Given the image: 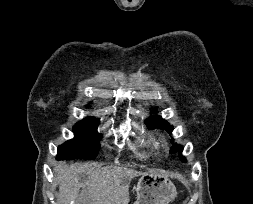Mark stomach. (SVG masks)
Listing matches in <instances>:
<instances>
[{
    "label": "stomach",
    "instance_id": "stomach-1",
    "mask_svg": "<svg viewBox=\"0 0 253 204\" xmlns=\"http://www.w3.org/2000/svg\"><path fill=\"white\" fill-rule=\"evenodd\" d=\"M134 204H169L177 196L174 183L164 174L148 171L141 175Z\"/></svg>",
    "mask_w": 253,
    "mask_h": 204
}]
</instances>
